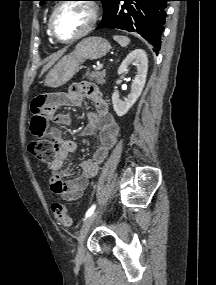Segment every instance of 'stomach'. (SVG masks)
Masks as SVG:
<instances>
[{"label":"stomach","mask_w":216,"mask_h":285,"mask_svg":"<svg viewBox=\"0 0 216 285\" xmlns=\"http://www.w3.org/2000/svg\"><path fill=\"white\" fill-rule=\"evenodd\" d=\"M110 50L109 42L97 36L83 39L79 42L74 51L65 55L49 71L46 76V85L58 88L68 81L79 71L80 65L87 59L95 60L105 56Z\"/></svg>","instance_id":"stomach-1"}]
</instances>
